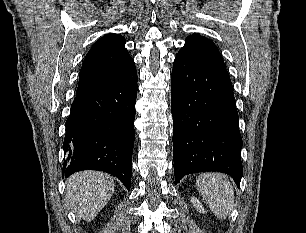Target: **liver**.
<instances>
[{
    "mask_svg": "<svg viewBox=\"0 0 306 233\" xmlns=\"http://www.w3.org/2000/svg\"><path fill=\"white\" fill-rule=\"evenodd\" d=\"M114 192L113 178L103 172L82 171L67 180V200L85 221L93 220Z\"/></svg>",
    "mask_w": 306,
    "mask_h": 233,
    "instance_id": "liver-1",
    "label": "liver"
}]
</instances>
